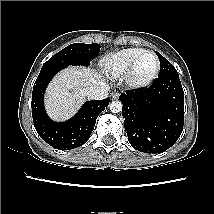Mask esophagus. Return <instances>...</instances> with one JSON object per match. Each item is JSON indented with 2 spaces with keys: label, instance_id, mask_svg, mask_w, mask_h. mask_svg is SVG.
I'll list each match as a JSON object with an SVG mask.
<instances>
[{
  "label": "esophagus",
  "instance_id": "obj_1",
  "mask_svg": "<svg viewBox=\"0 0 214 214\" xmlns=\"http://www.w3.org/2000/svg\"><path fill=\"white\" fill-rule=\"evenodd\" d=\"M119 95H120L119 92H116V91H114V92L111 93V97L113 99H117L119 97Z\"/></svg>",
  "mask_w": 214,
  "mask_h": 214
}]
</instances>
